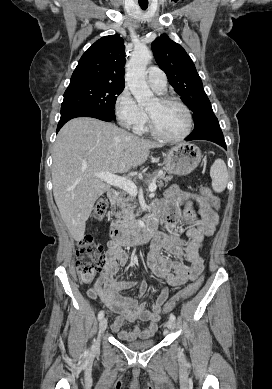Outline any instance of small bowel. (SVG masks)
Wrapping results in <instances>:
<instances>
[{
  "label": "small bowel",
  "mask_w": 272,
  "mask_h": 389,
  "mask_svg": "<svg viewBox=\"0 0 272 389\" xmlns=\"http://www.w3.org/2000/svg\"><path fill=\"white\" fill-rule=\"evenodd\" d=\"M153 212L162 216L167 227V233L155 236L148 256V266L153 275L170 286H181L196 279L204 270L201 256L204 238L214 234L218 223V215L212 204L203 195L172 185L167 189L165 198L153 205ZM181 222L186 227L185 239L179 234ZM163 250L176 259L165 257ZM127 262L128 255L121 246L109 242L104 267L87 294L91 299H100L108 309L118 314L111 324V330L120 339H147L157 330L168 290L162 287L158 298L150 306L146 302L122 296L120 292L123 289L137 288L140 296L145 295L147 289L141 281L122 283L115 277L119 268ZM126 321H142L147 326L143 329L122 328Z\"/></svg>",
  "instance_id": "1"
}]
</instances>
